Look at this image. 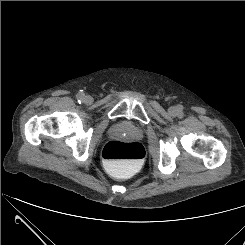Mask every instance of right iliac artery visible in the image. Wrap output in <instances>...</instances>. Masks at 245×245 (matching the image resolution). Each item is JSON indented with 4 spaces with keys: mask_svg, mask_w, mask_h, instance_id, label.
<instances>
[{
    "mask_svg": "<svg viewBox=\"0 0 245 245\" xmlns=\"http://www.w3.org/2000/svg\"><path fill=\"white\" fill-rule=\"evenodd\" d=\"M83 99H84V94L83 93H78L77 94V100H78V102L83 101Z\"/></svg>",
    "mask_w": 245,
    "mask_h": 245,
    "instance_id": "right-iliac-artery-1",
    "label": "right iliac artery"
}]
</instances>
